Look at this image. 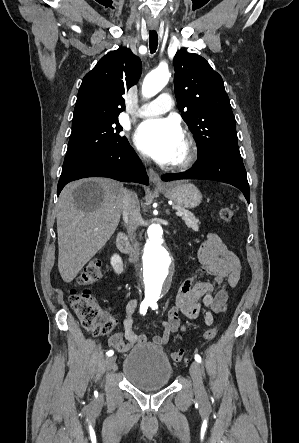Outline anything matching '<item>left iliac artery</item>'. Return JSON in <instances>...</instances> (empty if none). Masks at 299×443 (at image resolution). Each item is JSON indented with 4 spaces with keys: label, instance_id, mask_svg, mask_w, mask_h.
I'll list each match as a JSON object with an SVG mask.
<instances>
[{
    "label": "left iliac artery",
    "instance_id": "44dca946",
    "mask_svg": "<svg viewBox=\"0 0 299 443\" xmlns=\"http://www.w3.org/2000/svg\"><path fill=\"white\" fill-rule=\"evenodd\" d=\"M157 300H158V299H152V300H150V305H149V306H150L153 310H155V309L158 308ZM194 358H195V360H196L198 363H201V362H202L201 356H200L199 354H195Z\"/></svg>",
    "mask_w": 299,
    "mask_h": 443
}]
</instances>
